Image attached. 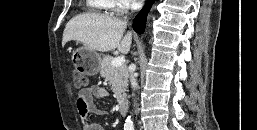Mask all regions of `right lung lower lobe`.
Returning a JSON list of instances; mask_svg holds the SVG:
<instances>
[{"instance_id": "1", "label": "right lung lower lobe", "mask_w": 257, "mask_h": 130, "mask_svg": "<svg viewBox=\"0 0 257 130\" xmlns=\"http://www.w3.org/2000/svg\"><path fill=\"white\" fill-rule=\"evenodd\" d=\"M152 1L148 2V5L144 7L138 15L135 17L133 22V28L137 33H142L145 30L146 16L151 6Z\"/></svg>"}]
</instances>
